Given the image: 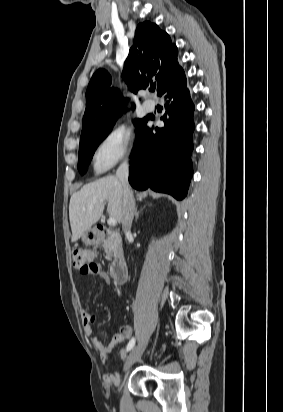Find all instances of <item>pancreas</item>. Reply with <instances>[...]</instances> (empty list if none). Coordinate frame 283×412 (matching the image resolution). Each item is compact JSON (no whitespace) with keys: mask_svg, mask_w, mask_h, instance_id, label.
<instances>
[{"mask_svg":"<svg viewBox=\"0 0 283 412\" xmlns=\"http://www.w3.org/2000/svg\"><path fill=\"white\" fill-rule=\"evenodd\" d=\"M104 251H105V258L107 260H111L112 256H113V252L115 251V249L113 248L111 242L109 240L104 241Z\"/></svg>","mask_w":283,"mask_h":412,"instance_id":"pancreas-1","label":"pancreas"}]
</instances>
